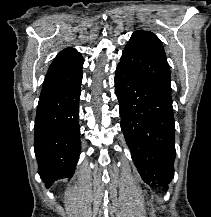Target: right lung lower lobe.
I'll use <instances>...</instances> for the list:
<instances>
[{"instance_id": "obj_1", "label": "right lung lower lobe", "mask_w": 211, "mask_h": 217, "mask_svg": "<svg viewBox=\"0 0 211 217\" xmlns=\"http://www.w3.org/2000/svg\"><path fill=\"white\" fill-rule=\"evenodd\" d=\"M82 72L71 84L40 95L34 127L38 173L49 188L74 174L80 154L79 98Z\"/></svg>"}]
</instances>
